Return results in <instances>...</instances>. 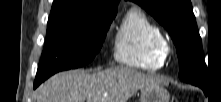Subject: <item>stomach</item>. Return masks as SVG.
Instances as JSON below:
<instances>
[{"label":"stomach","instance_id":"stomach-1","mask_svg":"<svg viewBox=\"0 0 221 102\" xmlns=\"http://www.w3.org/2000/svg\"><path fill=\"white\" fill-rule=\"evenodd\" d=\"M169 92L161 85L145 87L141 90L140 102H170Z\"/></svg>","mask_w":221,"mask_h":102}]
</instances>
